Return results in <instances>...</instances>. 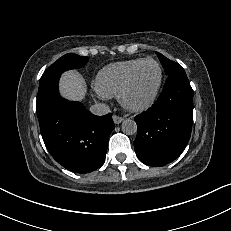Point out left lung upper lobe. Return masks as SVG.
Returning <instances> with one entry per match:
<instances>
[{"label": "left lung upper lobe", "mask_w": 231, "mask_h": 231, "mask_svg": "<svg viewBox=\"0 0 231 231\" xmlns=\"http://www.w3.org/2000/svg\"><path fill=\"white\" fill-rule=\"evenodd\" d=\"M161 64L163 65V68L165 70L166 75H169L171 72L182 69V67L174 62L163 56L161 53L156 52Z\"/></svg>", "instance_id": "5c2ea615"}]
</instances>
